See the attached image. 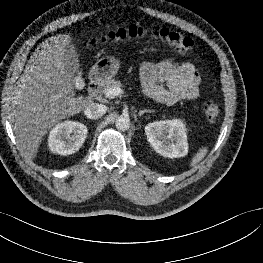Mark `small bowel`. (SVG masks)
I'll return each instance as SVG.
<instances>
[{"label": "small bowel", "mask_w": 263, "mask_h": 263, "mask_svg": "<svg viewBox=\"0 0 263 263\" xmlns=\"http://www.w3.org/2000/svg\"><path fill=\"white\" fill-rule=\"evenodd\" d=\"M143 93L157 102L172 105L199 96L200 76L190 62L176 63L172 58L140 64Z\"/></svg>", "instance_id": "obj_1"}]
</instances>
